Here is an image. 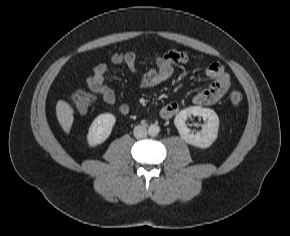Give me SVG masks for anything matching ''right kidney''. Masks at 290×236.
I'll return each mask as SVG.
<instances>
[{
  "mask_svg": "<svg viewBox=\"0 0 290 236\" xmlns=\"http://www.w3.org/2000/svg\"><path fill=\"white\" fill-rule=\"evenodd\" d=\"M116 122L113 114L104 113L98 115L92 122L87 141L90 146H97L103 143L111 134L112 128Z\"/></svg>",
  "mask_w": 290,
  "mask_h": 236,
  "instance_id": "right-kidney-1",
  "label": "right kidney"
}]
</instances>
